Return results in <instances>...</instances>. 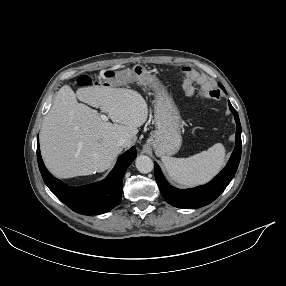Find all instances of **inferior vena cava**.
I'll list each match as a JSON object with an SVG mask.
<instances>
[{
    "label": "inferior vena cava",
    "mask_w": 286,
    "mask_h": 286,
    "mask_svg": "<svg viewBox=\"0 0 286 286\" xmlns=\"http://www.w3.org/2000/svg\"><path fill=\"white\" fill-rule=\"evenodd\" d=\"M117 145H118L119 147H126V145H127L126 139H124V138H119V139L117 140Z\"/></svg>",
    "instance_id": "inferior-vena-cava-1"
}]
</instances>
